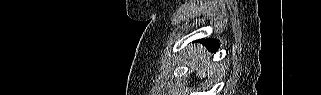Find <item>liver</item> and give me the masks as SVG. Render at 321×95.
<instances>
[{"label":"liver","mask_w":321,"mask_h":95,"mask_svg":"<svg viewBox=\"0 0 321 95\" xmlns=\"http://www.w3.org/2000/svg\"><path fill=\"white\" fill-rule=\"evenodd\" d=\"M189 53L193 56L194 67L199 78L205 77L206 73L216 71V64L207 62L206 51L202 47L197 45L194 50L191 48Z\"/></svg>","instance_id":"obj_1"}]
</instances>
